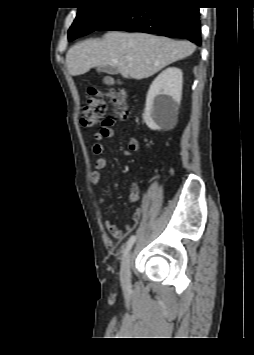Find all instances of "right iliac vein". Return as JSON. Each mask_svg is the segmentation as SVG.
Returning a JSON list of instances; mask_svg holds the SVG:
<instances>
[{"instance_id": "right-iliac-vein-1", "label": "right iliac vein", "mask_w": 254, "mask_h": 355, "mask_svg": "<svg viewBox=\"0 0 254 355\" xmlns=\"http://www.w3.org/2000/svg\"><path fill=\"white\" fill-rule=\"evenodd\" d=\"M130 265H131V252L127 253L121 263L120 279L123 286L130 285Z\"/></svg>"}]
</instances>
